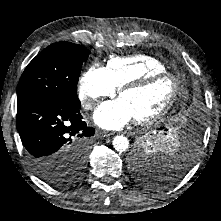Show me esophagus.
Masks as SVG:
<instances>
[{
	"label": "esophagus",
	"instance_id": "esophagus-1",
	"mask_svg": "<svg viewBox=\"0 0 221 221\" xmlns=\"http://www.w3.org/2000/svg\"><path fill=\"white\" fill-rule=\"evenodd\" d=\"M100 135L103 136V137H107V136H110L111 133L107 132V131H100Z\"/></svg>",
	"mask_w": 221,
	"mask_h": 221
}]
</instances>
